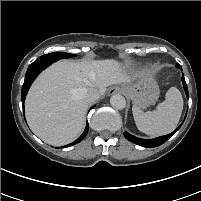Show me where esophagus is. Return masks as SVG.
<instances>
[{
	"label": "esophagus",
	"instance_id": "34e87169",
	"mask_svg": "<svg viewBox=\"0 0 201 201\" xmlns=\"http://www.w3.org/2000/svg\"><path fill=\"white\" fill-rule=\"evenodd\" d=\"M117 91H118V88L117 87H113V88L110 89L109 93L110 94H114Z\"/></svg>",
	"mask_w": 201,
	"mask_h": 201
}]
</instances>
